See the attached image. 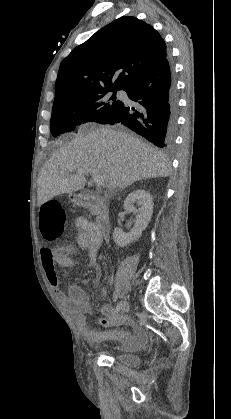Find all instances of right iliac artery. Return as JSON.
I'll return each instance as SVG.
<instances>
[{
  "instance_id": "82829eb1",
  "label": "right iliac artery",
  "mask_w": 231,
  "mask_h": 419,
  "mask_svg": "<svg viewBox=\"0 0 231 419\" xmlns=\"http://www.w3.org/2000/svg\"><path fill=\"white\" fill-rule=\"evenodd\" d=\"M121 307H122V303L119 302L116 306V312L120 311Z\"/></svg>"
}]
</instances>
